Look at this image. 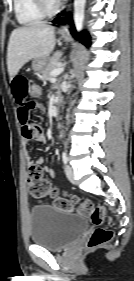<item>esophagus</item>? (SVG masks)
I'll return each instance as SVG.
<instances>
[{
  "label": "esophagus",
  "mask_w": 134,
  "mask_h": 281,
  "mask_svg": "<svg viewBox=\"0 0 134 281\" xmlns=\"http://www.w3.org/2000/svg\"><path fill=\"white\" fill-rule=\"evenodd\" d=\"M69 31V26L68 25H64L59 29V32L61 33H66Z\"/></svg>",
  "instance_id": "1"
}]
</instances>
